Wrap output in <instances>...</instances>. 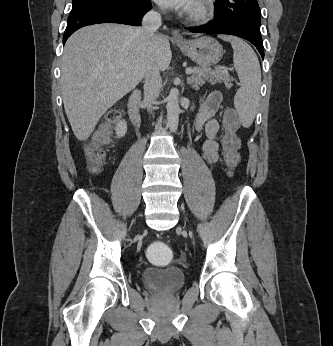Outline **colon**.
Wrapping results in <instances>:
<instances>
[{
	"label": "colon",
	"mask_w": 333,
	"mask_h": 346,
	"mask_svg": "<svg viewBox=\"0 0 333 346\" xmlns=\"http://www.w3.org/2000/svg\"><path fill=\"white\" fill-rule=\"evenodd\" d=\"M120 117L119 110H112L107 114V123L99 128L93 135L92 140L84 149L91 171L96 172L102 166L106 157V147L110 144V124ZM239 126L237 113L230 109L224 115V134L222 137L223 161L227 168L235 169L239 163V139L237 129ZM146 260H151L153 268H169L174 260V253H171L168 244L163 240H152L146 245Z\"/></svg>",
	"instance_id": "colon-1"
}]
</instances>
